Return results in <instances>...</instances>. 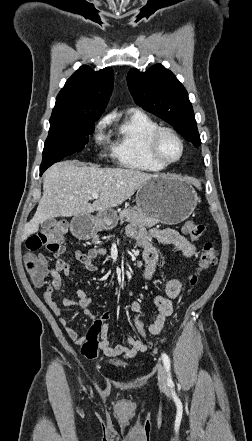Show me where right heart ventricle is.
Segmentation results:
<instances>
[{
	"mask_svg": "<svg viewBox=\"0 0 252 441\" xmlns=\"http://www.w3.org/2000/svg\"><path fill=\"white\" fill-rule=\"evenodd\" d=\"M158 127V123L147 114L131 111L114 129L112 157L128 169L149 173L163 170L164 167L155 162L148 152V138Z\"/></svg>",
	"mask_w": 252,
	"mask_h": 441,
	"instance_id": "1",
	"label": "right heart ventricle"
}]
</instances>
